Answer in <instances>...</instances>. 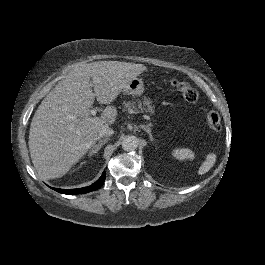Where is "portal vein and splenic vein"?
Instances as JSON below:
<instances>
[{
	"label": "portal vein and splenic vein",
	"instance_id": "18ae733b",
	"mask_svg": "<svg viewBox=\"0 0 265 265\" xmlns=\"http://www.w3.org/2000/svg\"><path fill=\"white\" fill-rule=\"evenodd\" d=\"M90 113H91V115H96V110H91ZM143 117H144V119H146V120H150V117L147 116V115H143Z\"/></svg>",
	"mask_w": 265,
	"mask_h": 265
}]
</instances>
